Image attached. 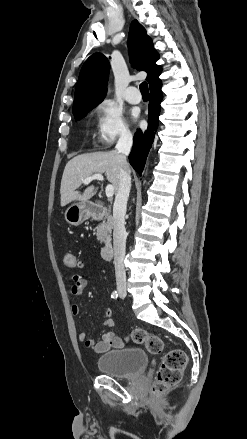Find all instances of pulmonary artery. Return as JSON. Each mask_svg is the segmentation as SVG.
Returning a JSON list of instances; mask_svg holds the SVG:
<instances>
[{"label":"pulmonary artery","mask_w":247,"mask_h":439,"mask_svg":"<svg viewBox=\"0 0 247 439\" xmlns=\"http://www.w3.org/2000/svg\"><path fill=\"white\" fill-rule=\"evenodd\" d=\"M124 98L131 104H138L141 102V95L134 86H130L125 90Z\"/></svg>","instance_id":"e3ab8cb5"}]
</instances>
